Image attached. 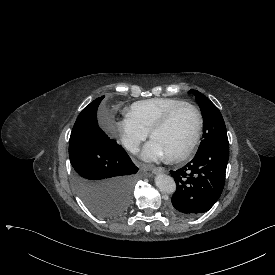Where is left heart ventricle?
Returning a JSON list of instances; mask_svg holds the SVG:
<instances>
[{"instance_id": "b2bd125f", "label": "left heart ventricle", "mask_w": 275, "mask_h": 275, "mask_svg": "<svg viewBox=\"0 0 275 275\" xmlns=\"http://www.w3.org/2000/svg\"><path fill=\"white\" fill-rule=\"evenodd\" d=\"M195 130V118L190 109L179 111L170 125L153 136L156 142L168 156L176 154L191 140Z\"/></svg>"}]
</instances>
